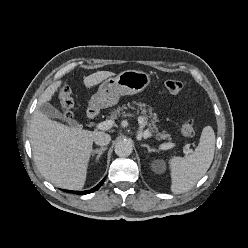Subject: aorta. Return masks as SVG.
<instances>
[{
    "mask_svg": "<svg viewBox=\"0 0 248 248\" xmlns=\"http://www.w3.org/2000/svg\"><path fill=\"white\" fill-rule=\"evenodd\" d=\"M114 150L117 156H129L133 151V145L128 140H120L116 143Z\"/></svg>",
    "mask_w": 248,
    "mask_h": 248,
    "instance_id": "762f6f07",
    "label": "aorta"
}]
</instances>
